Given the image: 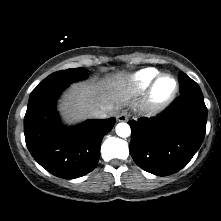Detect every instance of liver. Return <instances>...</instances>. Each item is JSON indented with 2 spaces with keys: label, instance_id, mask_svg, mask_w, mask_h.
<instances>
[{
  "label": "liver",
  "instance_id": "1",
  "mask_svg": "<svg viewBox=\"0 0 221 221\" xmlns=\"http://www.w3.org/2000/svg\"><path fill=\"white\" fill-rule=\"evenodd\" d=\"M118 74L104 82H82L72 85L59 105L64 119L74 123L91 118V112L105 109L108 116L115 115L126 98L122 92L123 77Z\"/></svg>",
  "mask_w": 221,
  "mask_h": 221
}]
</instances>
